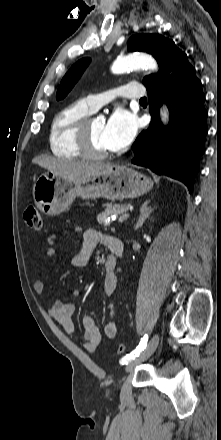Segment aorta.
<instances>
[{
    "mask_svg": "<svg viewBox=\"0 0 221 440\" xmlns=\"http://www.w3.org/2000/svg\"><path fill=\"white\" fill-rule=\"evenodd\" d=\"M147 68L153 71L158 69L156 60L145 53H133L125 57L118 58L112 65V72L121 74L131 69ZM162 121L166 122L168 113L165 108L161 110Z\"/></svg>",
    "mask_w": 221,
    "mask_h": 440,
    "instance_id": "1",
    "label": "aorta"
}]
</instances>
